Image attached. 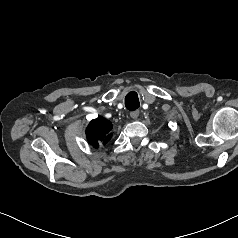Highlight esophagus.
<instances>
[{"label":"esophagus","mask_w":238,"mask_h":238,"mask_svg":"<svg viewBox=\"0 0 238 238\" xmlns=\"http://www.w3.org/2000/svg\"><path fill=\"white\" fill-rule=\"evenodd\" d=\"M139 113H140L139 110H135L130 113V116L132 119H137L139 116Z\"/></svg>","instance_id":"esophagus-1"}]
</instances>
